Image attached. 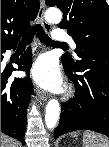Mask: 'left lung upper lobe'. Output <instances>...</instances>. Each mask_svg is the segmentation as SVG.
Wrapping results in <instances>:
<instances>
[{"label":"left lung upper lobe","instance_id":"left-lung-upper-lobe-1","mask_svg":"<svg viewBox=\"0 0 109 147\" xmlns=\"http://www.w3.org/2000/svg\"><path fill=\"white\" fill-rule=\"evenodd\" d=\"M48 6H57L63 12L59 27L66 28L79 53L97 50L109 54V5L105 0H46ZM77 60L63 55L62 62L75 67Z\"/></svg>","mask_w":109,"mask_h":147}]
</instances>
